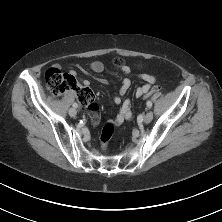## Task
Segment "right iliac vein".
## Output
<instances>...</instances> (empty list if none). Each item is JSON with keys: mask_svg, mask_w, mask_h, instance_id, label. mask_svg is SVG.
<instances>
[{"mask_svg": "<svg viewBox=\"0 0 222 222\" xmlns=\"http://www.w3.org/2000/svg\"><path fill=\"white\" fill-rule=\"evenodd\" d=\"M69 115H70L71 117H75V116L77 115L76 109H75V108H70V109H69Z\"/></svg>", "mask_w": 222, "mask_h": 222, "instance_id": "right-iliac-vein-1", "label": "right iliac vein"}]
</instances>
